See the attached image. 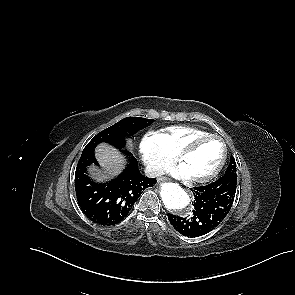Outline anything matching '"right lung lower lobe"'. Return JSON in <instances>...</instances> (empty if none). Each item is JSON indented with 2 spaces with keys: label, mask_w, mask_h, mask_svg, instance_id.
I'll list each match as a JSON object with an SVG mask.
<instances>
[{
  "label": "right lung lower lobe",
  "mask_w": 295,
  "mask_h": 295,
  "mask_svg": "<svg viewBox=\"0 0 295 295\" xmlns=\"http://www.w3.org/2000/svg\"><path fill=\"white\" fill-rule=\"evenodd\" d=\"M129 164L115 179L97 183L87 175V167L97 163L94 153L80 158L75 172V190L83 213L94 223L110 226L121 222L130 212L142 191L156 183L143 176L137 160L127 151Z\"/></svg>",
  "instance_id": "right-lung-lower-lobe-1"
}]
</instances>
